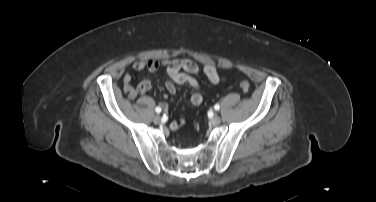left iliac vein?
Here are the masks:
<instances>
[{
    "label": "left iliac vein",
    "mask_w": 376,
    "mask_h": 202,
    "mask_svg": "<svg viewBox=\"0 0 376 202\" xmlns=\"http://www.w3.org/2000/svg\"><path fill=\"white\" fill-rule=\"evenodd\" d=\"M220 122H221V118H220V116H218V115H214V116L212 117V119H211V123H212L214 126L219 125Z\"/></svg>",
    "instance_id": "left-iliac-vein-1"
}]
</instances>
